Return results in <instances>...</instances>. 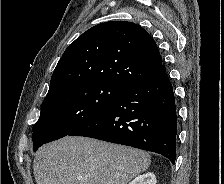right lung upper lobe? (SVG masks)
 <instances>
[{
    "mask_svg": "<svg viewBox=\"0 0 224 184\" xmlns=\"http://www.w3.org/2000/svg\"><path fill=\"white\" fill-rule=\"evenodd\" d=\"M156 42L127 21L98 24L70 44L51 77L45 99L82 82L109 81L129 86L166 75Z\"/></svg>",
    "mask_w": 224,
    "mask_h": 184,
    "instance_id": "obj_1",
    "label": "right lung upper lobe"
}]
</instances>
